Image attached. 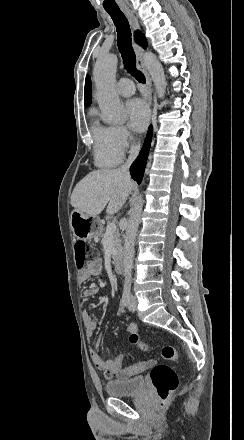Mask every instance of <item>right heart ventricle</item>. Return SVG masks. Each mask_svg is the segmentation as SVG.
Here are the masks:
<instances>
[{"label":"right heart ventricle","mask_w":244,"mask_h":440,"mask_svg":"<svg viewBox=\"0 0 244 440\" xmlns=\"http://www.w3.org/2000/svg\"><path fill=\"white\" fill-rule=\"evenodd\" d=\"M89 118L91 124L90 134L97 143L94 152L96 165L101 168H110L118 165L123 160L122 151L104 150L103 145L109 137V127L100 122L98 111L95 107L90 108Z\"/></svg>","instance_id":"1"}]
</instances>
